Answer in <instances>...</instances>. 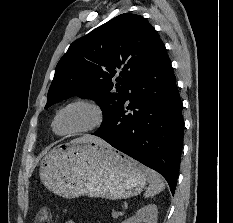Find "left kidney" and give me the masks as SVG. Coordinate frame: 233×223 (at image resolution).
Wrapping results in <instances>:
<instances>
[{"mask_svg":"<svg viewBox=\"0 0 233 223\" xmlns=\"http://www.w3.org/2000/svg\"><path fill=\"white\" fill-rule=\"evenodd\" d=\"M158 209L155 203H149V205H144L141 209L135 211V215H131L128 219H124L122 223H157Z\"/></svg>","mask_w":233,"mask_h":223,"instance_id":"5707ae66","label":"left kidney"}]
</instances>
